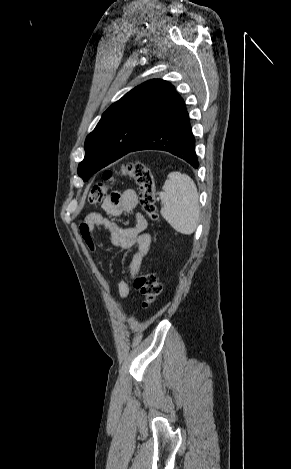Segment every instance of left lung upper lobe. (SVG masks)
<instances>
[{
	"label": "left lung upper lobe",
	"instance_id": "5c2ea615",
	"mask_svg": "<svg viewBox=\"0 0 291 469\" xmlns=\"http://www.w3.org/2000/svg\"><path fill=\"white\" fill-rule=\"evenodd\" d=\"M182 102L174 86L161 79L133 88L103 113L86 137V154L78 166V175L87 181L92 174L123 156Z\"/></svg>",
	"mask_w": 291,
	"mask_h": 469
}]
</instances>
